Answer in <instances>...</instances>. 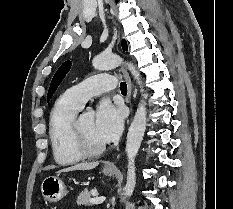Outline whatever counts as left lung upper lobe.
Returning <instances> with one entry per match:
<instances>
[{
	"label": "left lung upper lobe",
	"instance_id": "left-lung-upper-lobe-1",
	"mask_svg": "<svg viewBox=\"0 0 233 209\" xmlns=\"http://www.w3.org/2000/svg\"><path fill=\"white\" fill-rule=\"evenodd\" d=\"M122 49L126 51L128 49L127 43L125 40H122ZM71 68V62L66 61L64 62L56 71V73L53 76V79L50 84V88L47 94V101L50 100L52 97L53 93L56 91L58 88L59 84L61 81L65 78L66 74L68 73L69 69Z\"/></svg>",
	"mask_w": 233,
	"mask_h": 209
}]
</instances>
